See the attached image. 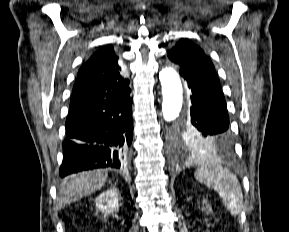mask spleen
Wrapping results in <instances>:
<instances>
[{"instance_id": "obj_1", "label": "spleen", "mask_w": 289, "mask_h": 232, "mask_svg": "<svg viewBox=\"0 0 289 232\" xmlns=\"http://www.w3.org/2000/svg\"><path fill=\"white\" fill-rule=\"evenodd\" d=\"M195 177L200 183L219 194L231 215L240 214L243 206V194L236 175L219 163H201Z\"/></svg>"}]
</instances>
